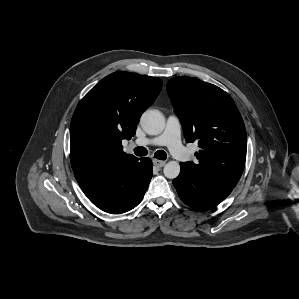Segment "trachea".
<instances>
[{
    "instance_id": "3493384b",
    "label": "trachea",
    "mask_w": 299,
    "mask_h": 299,
    "mask_svg": "<svg viewBox=\"0 0 299 299\" xmlns=\"http://www.w3.org/2000/svg\"><path fill=\"white\" fill-rule=\"evenodd\" d=\"M134 154L137 156H146L148 154V151L144 147H136L134 148ZM154 157L159 159V160H166L167 154L163 150H158L155 152Z\"/></svg>"
}]
</instances>
